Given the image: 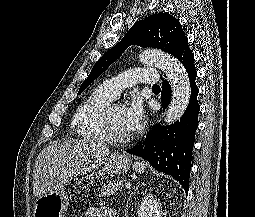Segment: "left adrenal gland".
I'll return each mask as SVG.
<instances>
[{"label":"left adrenal gland","instance_id":"left-adrenal-gland-1","mask_svg":"<svg viewBox=\"0 0 255 217\" xmlns=\"http://www.w3.org/2000/svg\"><path fill=\"white\" fill-rule=\"evenodd\" d=\"M140 185H145V184H144V182H142V183H140V184H138V185L136 186V188L134 189V191L131 192V194H130L128 200H127V204H128V202L130 201V198H131V197L135 194V192L138 190V188L140 187ZM127 207H128V205H126V212H127Z\"/></svg>","mask_w":255,"mask_h":217}]
</instances>
